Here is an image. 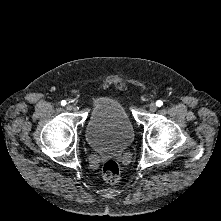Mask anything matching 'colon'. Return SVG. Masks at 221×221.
Returning <instances> with one entry per match:
<instances>
[{
  "label": "colon",
  "mask_w": 221,
  "mask_h": 221,
  "mask_svg": "<svg viewBox=\"0 0 221 221\" xmlns=\"http://www.w3.org/2000/svg\"><path fill=\"white\" fill-rule=\"evenodd\" d=\"M102 176L104 180L110 183H116L120 179V166L115 159H108L102 165Z\"/></svg>",
  "instance_id": "colon-1"
}]
</instances>
